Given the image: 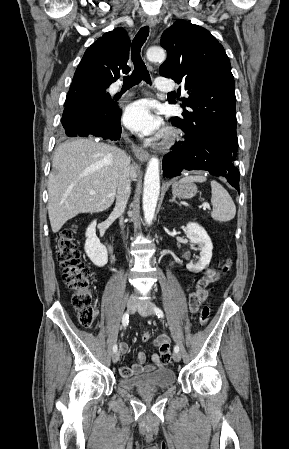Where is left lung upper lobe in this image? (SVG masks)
I'll list each match as a JSON object with an SVG mask.
<instances>
[{"label": "left lung upper lobe", "mask_w": 289, "mask_h": 449, "mask_svg": "<svg viewBox=\"0 0 289 449\" xmlns=\"http://www.w3.org/2000/svg\"><path fill=\"white\" fill-rule=\"evenodd\" d=\"M160 44L168 54L160 75L184 83L189 95L183 101L191 110L173 119L187 129L207 124L236 134L234 77L223 46L208 30L185 20L165 30ZM168 101L175 103L174 92Z\"/></svg>", "instance_id": "1"}]
</instances>
